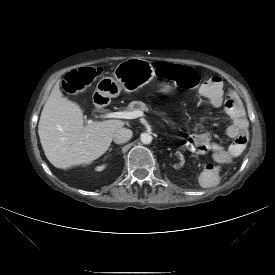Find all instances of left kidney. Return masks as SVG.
<instances>
[{"instance_id":"5707ae66","label":"left kidney","mask_w":275,"mask_h":275,"mask_svg":"<svg viewBox=\"0 0 275 275\" xmlns=\"http://www.w3.org/2000/svg\"><path fill=\"white\" fill-rule=\"evenodd\" d=\"M178 155H179L180 160L179 159L175 160L173 165H174L175 169L179 170V169L183 168L185 160H184V156L181 153H178Z\"/></svg>"}]
</instances>
